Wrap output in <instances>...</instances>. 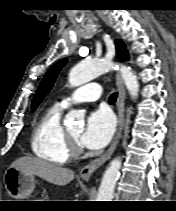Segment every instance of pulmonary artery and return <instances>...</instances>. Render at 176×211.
I'll return each mask as SVG.
<instances>
[{"label": "pulmonary artery", "instance_id": "pulmonary-artery-1", "mask_svg": "<svg viewBox=\"0 0 176 211\" xmlns=\"http://www.w3.org/2000/svg\"><path fill=\"white\" fill-rule=\"evenodd\" d=\"M100 97V85L98 83H89L78 88L71 96L61 100L60 105L66 108L76 103L97 101Z\"/></svg>", "mask_w": 176, "mask_h": 211}]
</instances>
